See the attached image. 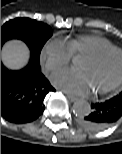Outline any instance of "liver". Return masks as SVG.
Instances as JSON below:
<instances>
[{"instance_id": "1", "label": "liver", "mask_w": 122, "mask_h": 154, "mask_svg": "<svg viewBox=\"0 0 122 154\" xmlns=\"http://www.w3.org/2000/svg\"><path fill=\"white\" fill-rule=\"evenodd\" d=\"M28 47L20 40L5 43L1 52V60L7 68L20 69L29 61Z\"/></svg>"}]
</instances>
